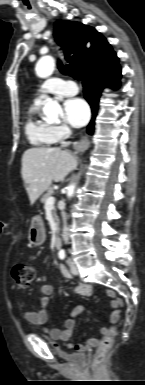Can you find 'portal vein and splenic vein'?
<instances>
[{
  "label": "portal vein and splenic vein",
  "mask_w": 145,
  "mask_h": 385,
  "mask_svg": "<svg viewBox=\"0 0 145 385\" xmlns=\"http://www.w3.org/2000/svg\"><path fill=\"white\" fill-rule=\"evenodd\" d=\"M54 203H55V198L53 196H50L45 203V208H52Z\"/></svg>",
  "instance_id": "1"
}]
</instances>
